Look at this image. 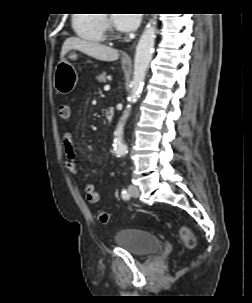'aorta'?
<instances>
[{
	"instance_id": "obj_1",
	"label": "aorta",
	"mask_w": 252,
	"mask_h": 303,
	"mask_svg": "<svg viewBox=\"0 0 252 303\" xmlns=\"http://www.w3.org/2000/svg\"><path fill=\"white\" fill-rule=\"evenodd\" d=\"M155 31L156 21H151L145 27L139 42L136 47L134 57V72L131 82V94L129 101L134 103L140 96L146 73L149 67V63L152 59V53L155 44ZM130 105H128V108ZM129 117V112L125 111L121 118V123L117 126L114 132V151L118 157L125 156L127 154V146L123 141V123Z\"/></svg>"
}]
</instances>
